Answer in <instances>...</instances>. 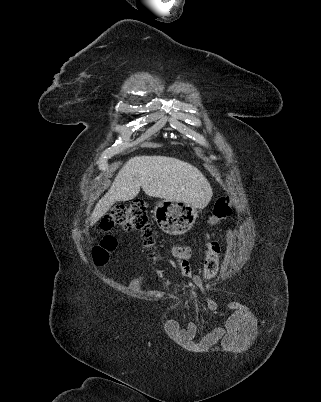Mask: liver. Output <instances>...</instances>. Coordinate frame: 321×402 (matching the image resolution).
I'll list each match as a JSON object with an SVG mask.
<instances>
[{
	"instance_id": "obj_1",
	"label": "liver",
	"mask_w": 321,
	"mask_h": 402,
	"mask_svg": "<svg viewBox=\"0 0 321 402\" xmlns=\"http://www.w3.org/2000/svg\"><path fill=\"white\" fill-rule=\"evenodd\" d=\"M143 191L151 197L183 201L204 208L212 197L206 177L193 165L166 156H136L122 167L90 218L94 225L117 201H128Z\"/></svg>"
}]
</instances>
